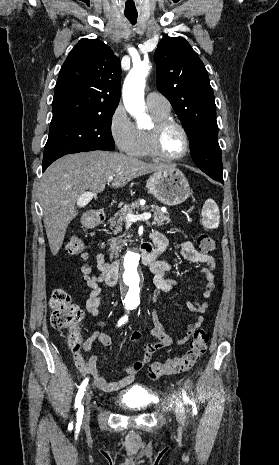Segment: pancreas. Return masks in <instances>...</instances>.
I'll use <instances>...</instances> for the list:
<instances>
[{
  "label": "pancreas",
  "instance_id": "pancreas-1",
  "mask_svg": "<svg viewBox=\"0 0 279 465\" xmlns=\"http://www.w3.org/2000/svg\"><path fill=\"white\" fill-rule=\"evenodd\" d=\"M135 209L147 210L149 209L148 206H140L139 202H132L131 204L125 205L121 208L115 215L110 219L111 229L113 230V234L117 235L123 231V224L126 222V215L128 213H133ZM151 211L153 212L154 220L152 222L153 225L162 226L164 224H168L170 222V218L168 213H164L160 210V208L156 205L151 206ZM123 235H119L117 238L113 239L110 243L109 253L110 257L118 255L120 249L123 248L124 243L126 242L122 239Z\"/></svg>",
  "mask_w": 279,
  "mask_h": 465
}]
</instances>
